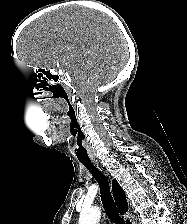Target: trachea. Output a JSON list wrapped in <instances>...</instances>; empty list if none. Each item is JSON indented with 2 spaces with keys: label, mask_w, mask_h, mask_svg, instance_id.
I'll return each mask as SVG.
<instances>
[{
  "label": "trachea",
  "mask_w": 187,
  "mask_h": 224,
  "mask_svg": "<svg viewBox=\"0 0 187 224\" xmlns=\"http://www.w3.org/2000/svg\"><path fill=\"white\" fill-rule=\"evenodd\" d=\"M92 174L100 187V194L105 213L113 224H125L113 201L107 177L92 162H81Z\"/></svg>",
  "instance_id": "1"
}]
</instances>
